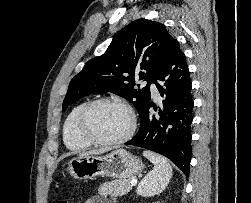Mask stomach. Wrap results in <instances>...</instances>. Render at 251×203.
<instances>
[{
    "label": "stomach",
    "mask_w": 251,
    "mask_h": 203,
    "mask_svg": "<svg viewBox=\"0 0 251 203\" xmlns=\"http://www.w3.org/2000/svg\"><path fill=\"white\" fill-rule=\"evenodd\" d=\"M144 169L140 158L126 151L116 149L105 156H78L70 160L68 171L76 179H93L97 176L131 178Z\"/></svg>",
    "instance_id": "obj_1"
}]
</instances>
